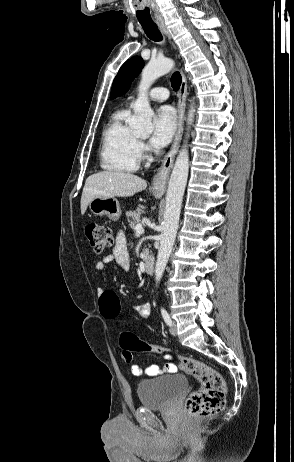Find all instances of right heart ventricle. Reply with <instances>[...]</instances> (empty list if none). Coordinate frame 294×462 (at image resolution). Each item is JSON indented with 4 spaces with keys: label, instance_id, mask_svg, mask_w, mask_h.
<instances>
[{
    "label": "right heart ventricle",
    "instance_id": "1",
    "mask_svg": "<svg viewBox=\"0 0 294 462\" xmlns=\"http://www.w3.org/2000/svg\"><path fill=\"white\" fill-rule=\"evenodd\" d=\"M127 109L116 111L102 134L100 165L110 172H134L139 166L138 136L128 126Z\"/></svg>",
    "mask_w": 294,
    "mask_h": 462
}]
</instances>
